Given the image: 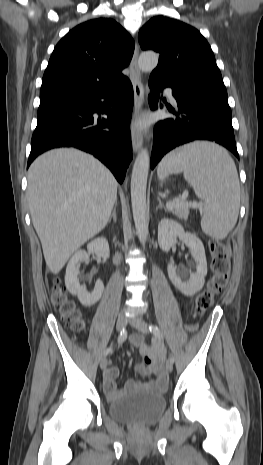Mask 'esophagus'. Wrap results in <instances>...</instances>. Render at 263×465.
<instances>
[{"label": "esophagus", "mask_w": 263, "mask_h": 465, "mask_svg": "<svg viewBox=\"0 0 263 465\" xmlns=\"http://www.w3.org/2000/svg\"><path fill=\"white\" fill-rule=\"evenodd\" d=\"M139 46L136 43L134 54L130 62V80L134 90L135 106H134V120L138 118L142 110L144 102V88L141 83V74L138 66ZM132 146L134 152H138L142 146V137L135 126L131 131Z\"/></svg>", "instance_id": "esophagus-1"}]
</instances>
